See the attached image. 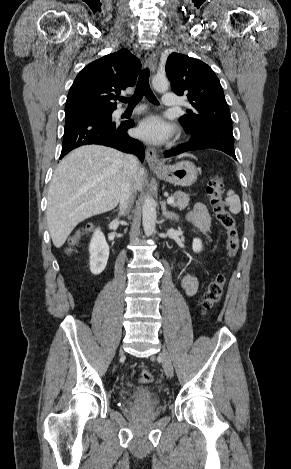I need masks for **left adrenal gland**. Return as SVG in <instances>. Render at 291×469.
Here are the masks:
<instances>
[{
	"mask_svg": "<svg viewBox=\"0 0 291 469\" xmlns=\"http://www.w3.org/2000/svg\"><path fill=\"white\" fill-rule=\"evenodd\" d=\"M162 212L166 219L174 220L178 218V215L174 212L167 211L165 202L162 203Z\"/></svg>",
	"mask_w": 291,
	"mask_h": 469,
	"instance_id": "1",
	"label": "left adrenal gland"
}]
</instances>
